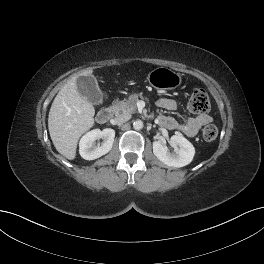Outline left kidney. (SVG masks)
Wrapping results in <instances>:
<instances>
[{"instance_id": "left-kidney-1", "label": "left kidney", "mask_w": 264, "mask_h": 264, "mask_svg": "<svg viewBox=\"0 0 264 264\" xmlns=\"http://www.w3.org/2000/svg\"><path fill=\"white\" fill-rule=\"evenodd\" d=\"M171 145L178 146L176 153H171L165 142L154 141L153 153L164 164L171 167H184L190 164L194 158L195 149L193 145L184 137L174 135L170 139Z\"/></svg>"}]
</instances>
